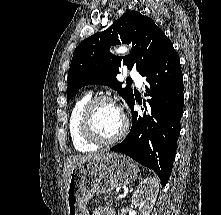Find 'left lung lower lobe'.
Instances as JSON below:
<instances>
[{"label":"left lung lower lobe","instance_id":"1","mask_svg":"<svg viewBox=\"0 0 221 215\" xmlns=\"http://www.w3.org/2000/svg\"><path fill=\"white\" fill-rule=\"evenodd\" d=\"M142 76L147 82V106L144 101L143 112H135L136 97L133 98L129 103L133 117L131 132L110 150L124 153L153 169L162 185H166L175 158L184 104L183 74L172 43Z\"/></svg>","mask_w":221,"mask_h":215}]
</instances>
